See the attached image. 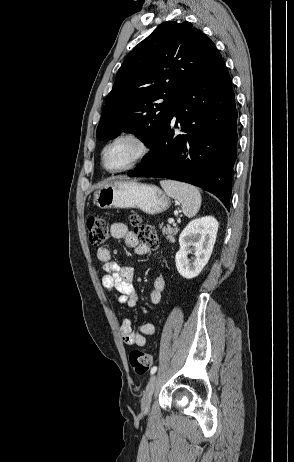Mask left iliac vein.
I'll use <instances>...</instances> for the list:
<instances>
[{
	"label": "left iliac vein",
	"mask_w": 294,
	"mask_h": 462,
	"mask_svg": "<svg viewBox=\"0 0 294 462\" xmlns=\"http://www.w3.org/2000/svg\"><path fill=\"white\" fill-rule=\"evenodd\" d=\"M156 382H157V376L154 375L151 377L150 381L148 382V385L144 392L141 406H142V410L145 412L148 411L150 408L151 398L155 391Z\"/></svg>",
	"instance_id": "1"
}]
</instances>
